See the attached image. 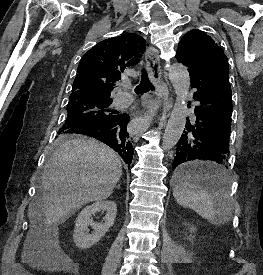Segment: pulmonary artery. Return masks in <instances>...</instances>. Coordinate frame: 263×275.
Segmentation results:
<instances>
[{
	"label": "pulmonary artery",
	"instance_id": "pulmonary-artery-1",
	"mask_svg": "<svg viewBox=\"0 0 263 275\" xmlns=\"http://www.w3.org/2000/svg\"><path fill=\"white\" fill-rule=\"evenodd\" d=\"M133 102V97L128 92H119L115 98L114 105L118 108L128 107Z\"/></svg>",
	"mask_w": 263,
	"mask_h": 275
}]
</instances>
